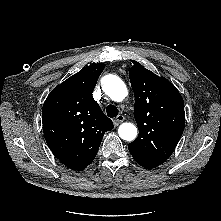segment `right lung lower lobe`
<instances>
[{"mask_svg":"<svg viewBox=\"0 0 221 221\" xmlns=\"http://www.w3.org/2000/svg\"><path fill=\"white\" fill-rule=\"evenodd\" d=\"M94 158H95V157H94ZM94 158H93V159H94ZM93 159H92L87 165H89V164L93 161ZM87 165H86V166H87ZM86 166H85V167H86ZM85 167L81 168L80 171H82Z\"/></svg>","mask_w":221,"mask_h":221,"instance_id":"98d812e1","label":"right lung lower lobe"}]
</instances>
